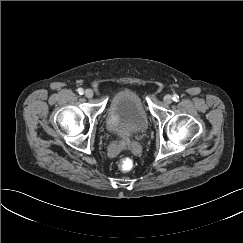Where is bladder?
Masks as SVG:
<instances>
[{"mask_svg": "<svg viewBox=\"0 0 243 243\" xmlns=\"http://www.w3.org/2000/svg\"><path fill=\"white\" fill-rule=\"evenodd\" d=\"M148 115L139 95L129 89L117 92L106 112L109 132L120 138H132L148 128Z\"/></svg>", "mask_w": 243, "mask_h": 243, "instance_id": "1", "label": "bladder"}]
</instances>
